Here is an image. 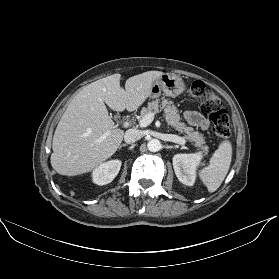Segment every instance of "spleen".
Segmentation results:
<instances>
[{
  "mask_svg": "<svg viewBox=\"0 0 279 279\" xmlns=\"http://www.w3.org/2000/svg\"><path fill=\"white\" fill-rule=\"evenodd\" d=\"M232 159L231 142H221L214 152L207 167L200 171V178L209 192H215L225 179Z\"/></svg>",
  "mask_w": 279,
  "mask_h": 279,
  "instance_id": "spleen-1",
  "label": "spleen"
}]
</instances>
